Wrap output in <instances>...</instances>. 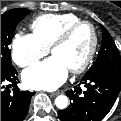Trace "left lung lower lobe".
<instances>
[{
    "label": "left lung lower lobe",
    "instance_id": "0a47b994",
    "mask_svg": "<svg viewBox=\"0 0 121 121\" xmlns=\"http://www.w3.org/2000/svg\"><path fill=\"white\" fill-rule=\"evenodd\" d=\"M83 84L86 89L79 87ZM79 85L66 91L70 105L58 111L61 121H100L114 105L121 90V71L87 72Z\"/></svg>",
    "mask_w": 121,
    "mask_h": 121
}]
</instances>
